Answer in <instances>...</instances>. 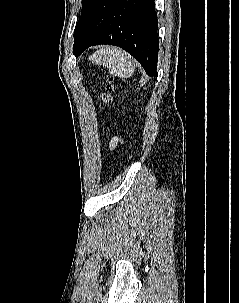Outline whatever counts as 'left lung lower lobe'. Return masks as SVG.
I'll list each match as a JSON object with an SVG mask.
<instances>
[{"mask_svg": "<svg viewBox=\"0 0 239 303\" xmlns=\"http://www.w3.org/2000/svg\"><path fill=\"white\" fill-rule=\"evenodd\" d=\"M157 29L154 0H117L86 36L79 55L93 45H116L136 58L149 76H157Z\"/></svg>", "mask_w": 239, "mask_h": 303, "instance_id": "0a47b994", "label": "left lung lower lobe"}]
</instances>
